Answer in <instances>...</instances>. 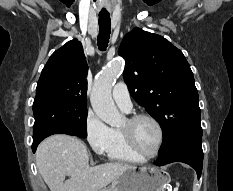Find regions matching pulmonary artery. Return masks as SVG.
Returning a JSON list of instances; mask_svg holds the SVG:
<instances>
[{"label": "pulmonary artery", "mask_w": 233, "mask_h": 191, "mask_svg": "<svg viewBox=\"0 0 233 191\" xmlns=\"http://www.w3.org/2000/svg\"><path fill=\"white\" fill-rule=\"evenodd\" d=\"M113 100L116 105L125 112H130L132 103L130 100L127 85L124 82H119L115 85L112 92Z\"/></svg>", "instance_id": "pulmonary-artery-1"}]
</instances>
